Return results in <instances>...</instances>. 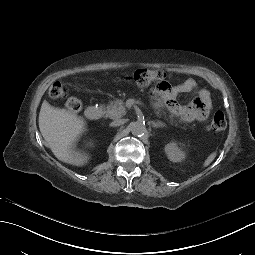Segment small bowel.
<instances>
[{"instance_id": "small-bowel-1", "label": "small bowel", "mask_w": 255, "mask_h": 255, "mask_svg": "<svg viewBox=\"0 0 255 255\" xmlns=\"http://www.w3.org/2000/svg\"><path fill=\"white\" fill-rule=\"evenodd\" d=\"M193 91H198V94L189 105L181 106L174 101L178 94ZM157 93L168 98V108L172 114L188 122L206 120L212 108L210 92L206 89L198 90V84L194 79H187L174 87L167 84L163 90L157 88Z\"/></svg>"}]
</instances>
